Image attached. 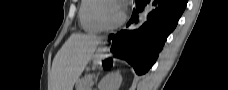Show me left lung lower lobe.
<instances>
[{
	"label": "left lung lower lobe",
	"mask_w": 228,
	"mask_h": 90,
	"mask_svg": "<svg viewBox=\"0 0 228 90\" xmlns=\"http://www.w3.org/2000/svg\"><path fill=\"white\" fill-rule=\"evenodd\" d=\"M150 0H135V8L127 27L137 20V13ZM187 0H154L156 7L148 15V21L134 31H121L109 36L112 50L117 58L131 64L138 75L145 74L156 61L167 36L176 27Z\"/></svg>",
	"instance_id": "0a47b994"
}]
</instances>
